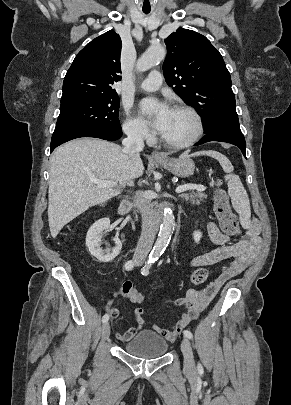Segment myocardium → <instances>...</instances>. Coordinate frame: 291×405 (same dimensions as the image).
I'll use <instances>...</instances> for the list:
<instances>
[{"mask_svg":"<svg viewBox=\"0 0 291 405\" xmlns=\"http://www.w3.org/2000/svg\"><path fill=\"white\" fill-rule=\"evenodd\" d=\"M172 109L183 110V111L188 112L194 119L195 131L190 138H188L185 141H181V142L169 141L166 138H164L161 134L160 142L163 145H165L166 147L172 148V149H184V148L192 146L201 138V136L203 135V132H204V123H203V119H202L201 115L197 112L196 109H194L193 107H191L187 104H176L173 106Z\"/></svg>","mask_w":291,"mask_h":405,"instance_id":"obj_1","label":"myocardium"}]
</instances>
